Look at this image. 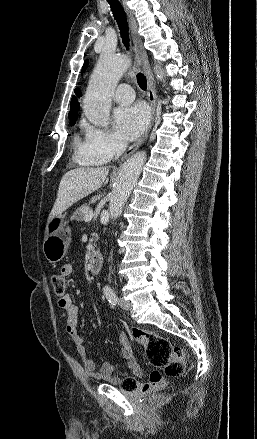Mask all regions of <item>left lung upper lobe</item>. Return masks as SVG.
I'll return each mask as SVG.
<instances>
[{"instance_id": "left-lung-upper-lobe-1", "label": "left lung upper lobe", "mask_w": 257, "mask_h": 439, "mask_svg": "<svg viewBox=\"0 0 257 439\" xmlns=\"http://www.w3.org/2000/svg\"><path fill=\"white\" fill-rule=\"evenodd\" d=\"M87 65H88V60L85 61L82 71H84L86 69Z\"/></svg>"}]
</instances>
